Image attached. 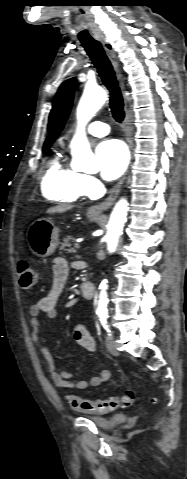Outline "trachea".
Segmentation results:
<instances>
[{"mask_svg":"<svg viewBox=\"0 0 187 479\" xmlns=\"http://www.w3.org/2000/svg\"><path fill=\"white\" fill-rule=\"evenodd\" d=\"M81 44L96 67L104 85L109 90L110 108L114 119L119 123L122 122L125 117L124 103L110 60L100 42L87 40L81 41Z\"/></svg>","mask_w":187,"mask_h":479,"instance_id":"trachea-1","label":"trachea"}]
</instances>
